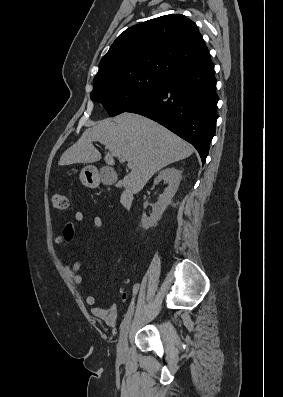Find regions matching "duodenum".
Segmentation results:
<instances>
[{"instance_id": "410a0bca", "label": "duodenum", "mask_w": 283, "mask_h": 397, "mask_svg": "<svg viewBox=\"0 0 283 397\" xmlns=\"http://www.w3.org/2000/svg\"><path fill=\"white\" fill-rule=\"evenodd\" d=\"M120 202L125 209H129L133 202V194L127 189L123 190Z\"/></svg>"}]
</instances>
